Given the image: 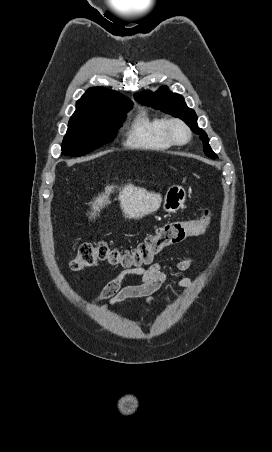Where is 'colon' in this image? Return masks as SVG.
<instances>
[{
    "instance_id": "1",
    "label": "colon",
    "mask_w": 272,
    "mask_h": 452,
    "mask_svg": "<svg viewBox=\"0 0 272 452\" xmlns=\"http://www.w3.org/2000/svg\"><path fill=\"white\" fill-rule=\"evenodd\" d=\"M210 223L209 212L197 220L168 221L157 226L153 233L131 248H122L104 240L82 243L70 263V268L80 272L99 264L125 268L150 265L166 248L186 237L202 234L209 228Z\"/></svg>"
}]
</instances>
